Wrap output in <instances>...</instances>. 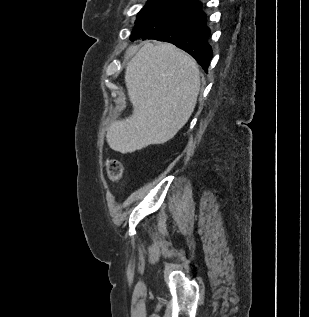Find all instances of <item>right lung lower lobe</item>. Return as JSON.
<instances>
[{
    "label": "right lung lower lobe",
    "mask_w": 309,
    "mask_h": 317,
    "mask_svg": "<svg viewBox=\"0 0 309 317\" xmlns=\"http://www.w3.org/2000/svg\"><path fill=\"white\" fill-rule=\"evenodd\" d=\"M210 29L198 0H178L140 19L130 40L156 39L175 44L193 56L207 72L213 53Z\"/></svg>",
    "instance_id": "obj_1"
}]
</instances>
